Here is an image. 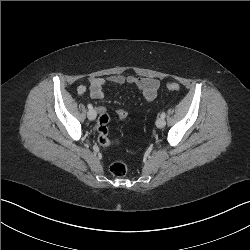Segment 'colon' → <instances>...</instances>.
I'll use <instances>...</instances> for the list:
<instances>
[{
  "label": "colon",
  "mask_w": 250,
  "mask_h": 250,
  "mask_svg": "<svg viewBox=\"0 0 250 250\" xmlns=\"http://www.w3.org/2000/svg\"><path fill=\"white\" fill-rule=\"evenodd\" d=\"M167 88L170 91H179L180 85L175 82H170L167 84ZM117 118L118 121L123 122L127 118V110L126 109H120L117 111ZM108 122H109V116L106 112H103L100 114L97 122V132H98V144L101 147H106L112 145L111 140L108 137ZM127 165L123 161H116L111 164L110 171L112 175L118 178H122L127 173Z\"/></svg>",
  "instance_id": "obj_1"
}]
</instances>
